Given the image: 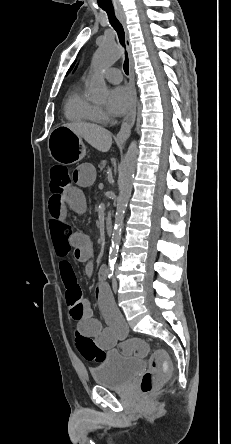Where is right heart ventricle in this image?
<instances>
[{
    "mask_svg": "<svg viewBox=\"0 0 231 444\" xmlns=\"http://www.w3.org/2000/svg\"><path fill=\"white\" fill-rule=\"evenodd\" d=\"M65 116L75 122H96V106L77 88L70 92L65 103Z\"/></svg>",
    "mask_w": 231,
    "mask_h": 444,
    "instance_id": "e07e8e85",
    "label": "right heart ventricle"
}]
</instances>
